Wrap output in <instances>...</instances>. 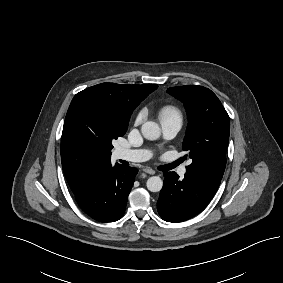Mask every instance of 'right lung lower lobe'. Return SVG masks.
Returning a JSON list of instances; mask_svg holds the SVG:
<instances>
[{"mask_svg": "<svg viewBox=\"0 0 283 283\" xmlns=\"http://www.w3.org/2000/svg\"><path fill=\"white\" fill-rule=\"evenodd\" d=\"M138 170L111 160L93 163L76 190L75 199L82 210L100 222L119 220L126 209L128 195Z\"/></svg>", "mask_w": 283, "mask_h": 283, "instance_id": "98d812e1", "label": "right lung lower lobe"}]
</instances>
